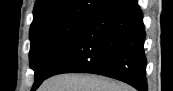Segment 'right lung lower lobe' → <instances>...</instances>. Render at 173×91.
I'll return each mask as SVG.
<instances>
[{"mask_svg":"<svg viewBox=\"0 0 173 91\" xmlns=\"http://www.w3.org/2000/svg\"><path fill=\"white\" fill-rule=\"evenodd\" d=\"M145 30L137 0H115L95 12L55 60L46 78L94 73L147 91ZM39 86H33L32 91Z\"/></svg>","mask_w":173,"mask_h":91,"instance_id":"98d812e1","label":"right lung lower lobe"}]
</instances>
